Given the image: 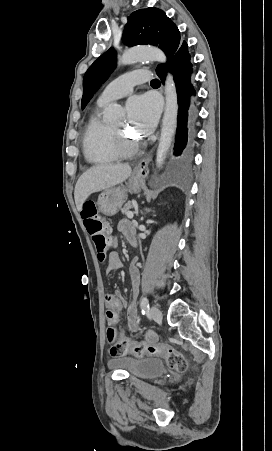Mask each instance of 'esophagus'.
Instances as JSON below:
<instances>
[{"label": "esophagus", "instance_id": "obj_1", "mask_svg": "<svg viewBox=\"0 0 272 451\" xmlns=\"http://www.w3.org/2000/svg\"><path fill=\"white\" fill-rule=\"evenodd\" d=\"M151 161V157L143 158L139 161L138 165L135 167L134 171L138 174L139 177H145L148 175V165Z\"/></svg>", "mask_w": 272, "mask_h": 451}]
</instances>
